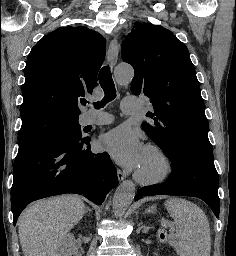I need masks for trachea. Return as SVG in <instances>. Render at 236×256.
Returning a JSON list of instances; mask_svg holds the SVG:
<instances>
[{
	"label": "trachea",
	"mask_w": 236,
	"mask_h": 256,
	"mask_svg": "<svg viewBox=\"0 0 236 256\" xmlns=\"http://www.w3.org/2000/svg\"><path fill=\"white\" fill-rule=\"evenodd\" d=\"M99 83L104 90V98L101 101L94 103V107L97 108V110H99V108H103L107 103L114 100L116 97V89L109 66H104L100 70ZM81 103L82 105H86L87 101L83 100Z\"/></svg>",
	"instance_id": "trachea-1"
}]
</instances>
